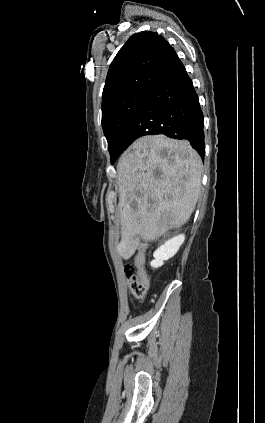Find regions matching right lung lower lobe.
I'll use <instances>...</instances> for the list:
<instances>
[{
	"instance_id": "98d812e1",
	"label": "right lung lower lobe",
	"mask_w": 265,
	"mask_h": 423,
	"mask_svg": "<svg viewBox=\"0 0 265 423\" xmlns=\"http://www.w3.org/2000/svg\"><path fill=\"white\" fill-rule=\"evenodd\" d=\"M203 126L198 96L177 56L123 129L118 150L122 153L141 136L164 134L188 140L204 160Z\"/></svg>"
}]
</instances>
